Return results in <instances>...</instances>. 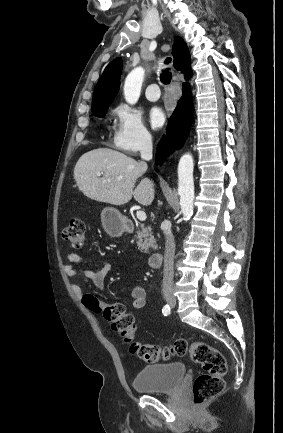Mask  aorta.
<instances>
[{"instance_id":"762f6f07","label":"aorta","mask_w":283,"mask_h":433,"mask_svg":"<svg viewBox=\"0 0 283 433\" xmlns=\"http://www.w3.org/2000/svg\"><path fill=\"white\" fill-rule=\"evenodd\" d=\"M145 71L142 67L133 69L124 83V96L129 104H135L141 93ZM194 161L191 154H184L178 164V194L183 220L187 221L193 214L194 208Z\"/></svg>"}]
</instances>
